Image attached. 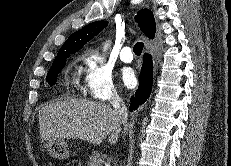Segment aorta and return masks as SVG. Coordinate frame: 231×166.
Returning a JSON list of instances; mask_svg holds the SVG:
<instances>
[{
  "label": "aorta",
  "instance_id": "1",
  "mask_svg": "<svg viewBox=\"0 0 231 166\" xmlns=\"http://www.w3.org/2000/svg\"><path fill=\"white\" fill-rule=\"evenodd\" d=\"M108 46H109L108 43H106V44L104 45V51L108 48Z\"/></svg>",
  "mask_w": 231,
  "mask_h": 166
}]
</instances>
